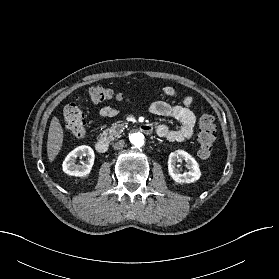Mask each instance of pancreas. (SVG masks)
Returning a JSON list of instances; mask_svg holds the SVG:
<instances>
[{"label": "pancreas", "instance_id": "pancreas-1", "mask_svg": "<svg viewBox=\"0 0 279 279\" xmlns=\"http://www.w3.org/2000/svg\"><path fill=\"white\" fill-rule=\"evenodd\" d=\"M124 124L123 123H114L112 126L101 133V137L108 141H113L116 138L120 137V134L123 132Z\"/></svg>", "mask_w": 279, "mask_h": 279}]
</instances>
